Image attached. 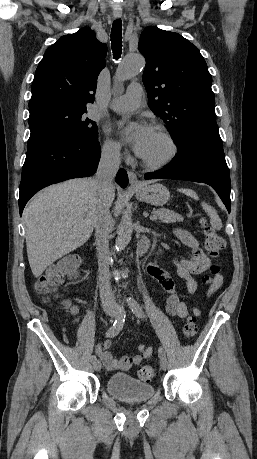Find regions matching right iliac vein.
Here are the masks:
<instances>
[{
	"instance_id": "right-iliac-vein-1",
	"label": "right iliac vein",
	"mask_w": 257,
	"mask_h": 459,
	"mask_svg": "<svg viewBox=\"0 0 257 459\" xmlns=\"http://www.w3.org/2000/svg\"><path fill=\"white\" fill-rule=\"evenodd\" d=\"M106 314L110 317H114L115 314L114 312L112 311L111 307H107L106 309ZM93 368L95 371H100L101 369V362L99 360H96L95 362H93Z\"/></svg>"
}]
</instances>
